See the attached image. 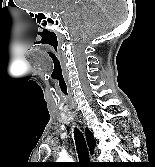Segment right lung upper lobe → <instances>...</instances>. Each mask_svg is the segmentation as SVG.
I'll use <instances>...</instances> for the list:
<instances>
[{
	"label": "right lung upper lobe",
	"mask_w": 155,
	"mask_h": 167,
	"mask_svg": "<svg viewBox=\"0 0 155 167\" xmlns=\"http://www.w3.org/2000/svg\"><path fill=\"white\" fill-rule=\"evenodd\" d=\"M85 133H86V139H87V143H88V146H89L90 153L93 154L94 148H95V145H96V141L93 137L92 132L89 129H86ZM46 165L47 166H53V164H46ZM95 165H98V164H95Z\"/></svg>",
	"instance_id": "1"
}]
</instances>
